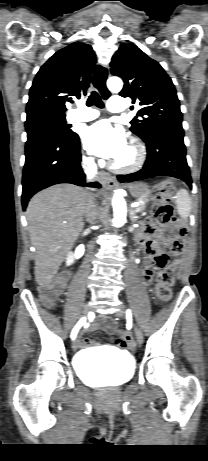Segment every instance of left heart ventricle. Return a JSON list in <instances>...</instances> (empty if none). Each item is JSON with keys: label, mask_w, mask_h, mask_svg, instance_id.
Returning a JSON list of instances; mask_svg holds the SVG:
<instances>
[{"label": "left heart ventricle", "mask_w": 208, "mask_h": 461, "mask_svg": "<svg viewBox=\"0 0 208 461\" xmlns=\"http://www.w3.org/2000/svg\"><path fill=\"white\" fill-rule=\"evenodd\" d=\"M133 159V152L131 150V148L126 145L124 151L122 152V154L115 159V161L121 163V164H127L129 162H131Z\"/></svg>", "instance_id": "1"}]
</instances>
